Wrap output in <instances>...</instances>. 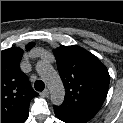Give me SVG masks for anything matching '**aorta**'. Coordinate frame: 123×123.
<instances>
[{"instance_id": "1", "label": "aorta", "mask_w": 123, "mask_h": 123, "mask_svg": "<svg viewBox=\"0 0 123 123\" xmlns=\"http://www.w3.org/2000/svg\"><path fill=\"white\" fill-rule=\"evenodd\" d=\"M38 74L44 79L49 90L51 101L55 105H60L64 101L65 90L59 74L47 61H40L36 65Z\"/></svg>"}]
</instances>
